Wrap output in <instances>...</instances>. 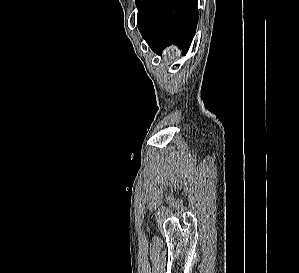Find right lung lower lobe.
<instances>
[{"mask_svg":"<svg viewBox=\"0 0 299 273\" xmlns=\"http://www.w3.org/2000/svg\"><path fill=\"white\" fill-rule=\"evenodd\" d=\"M138 28L151 49L160 54L176 44L189 49L198 23L197 0H137Z\"/></svg>","mask_w":299,"mask_h":273,"instance_id":"1","label":"right lung lower lobe"}]
</instances>
